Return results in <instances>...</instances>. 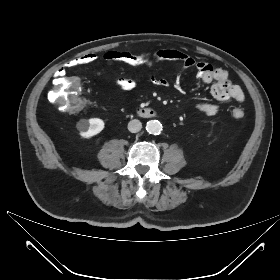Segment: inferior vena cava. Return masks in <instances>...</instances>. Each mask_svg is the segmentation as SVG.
I'll return each instance as SVG.
<instances>
[{"label":"inferior vena cava","mask_w":280,"mask_h":280,"mask_svg":"<svg viewBox=\"0 0 280 280\" xmlns=\"http://www.w3.org/2000/svg\"><path fill=\"white\" fill-rule=\"evenodd\" d=\"M141 128H142V123L137 119L131 120L128 123V130L132 133L139 132L141 130Z\"/></svg>","instance_id":"602c4592"}]
</instances>
